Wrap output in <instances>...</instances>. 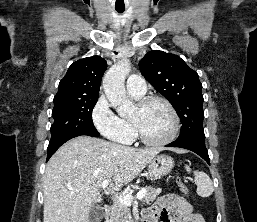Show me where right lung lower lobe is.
<instances>
[{
  "mask_svg": "<svg viewBox=\"0 0 257 222\" xmlns=\"http://www.w3.org/2000/svg\"><path fill=\"white\" fill-rule=\"evenodd\" d=\"M77 136H80V135L67 136V137L61 138L55 142L49 143L48 148H47V161L62 144H64L66 141H68L74 137H77Z\"/></svg>",
  "mask_w": 257,
  "mask_h": 222,
  "instance_id": "right-lung-lower-lobe-1",
  "label": "right lung lower lobe"
}]
</instances>
